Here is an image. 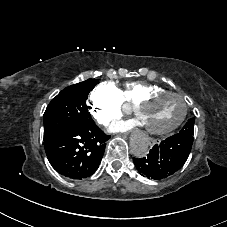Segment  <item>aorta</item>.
I'll return each mask as SVG.
<instances>
[{
  "mask_svg": "<svg viewBox=\"0 0 227 227\" xmlns=\"http://www.w3.org/2000/svg\"><path fill=\"white\" fill-rule=\"evenodd\" d=\"M130 149L136 158H142L148 152L149 143L145 137H137L131 141Z\"/></svg>",
  "mask_w": 227,
  "mask_h": 227,
  "instance_id": "aorta-1",
  "label": "aorta"
}]
</instances>
